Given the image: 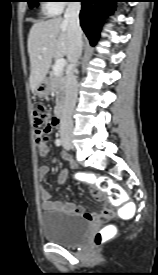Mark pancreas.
Instances as JSON below:
<instances>
[{
    "instance_id": "pancreas-1",
    "label": "pancreas",
    "mask_w": 158,
    "mask_h": 275,
    "mask_svg": "<svg viewBox=\"0 0 158 275\" xmlns=\"http://www.w3.org/2000/svg\"><path fill=\"white\" fill-rule=\"evenodd\" d=\"M49 90L55 91L56 100L61 101L64 98L66 89V77L63 72L59 75H55L54 70L50 73L49 77Z\"/></svg>"
}]
</instances>
